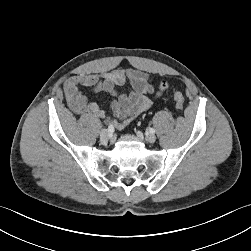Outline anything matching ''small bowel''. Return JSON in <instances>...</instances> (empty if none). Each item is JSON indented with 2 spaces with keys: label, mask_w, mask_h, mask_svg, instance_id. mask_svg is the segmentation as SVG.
Here are the masks:
<instances>
[{
  "label": "small bowel",
  "mask_w": 251,
  "mask_h": 251,
  "mask_svg": "<svg viewBox=\"0 0 251 251\" xmlns=\"http://www.w3.org/2000/svg\"><path fill=\"white\" fill-rule=\"evenodd\" d=\"M126 84L131 86V90L119 93L118 88ZM168 86V82L163 80L156 88L148 73L117 68L109 72L71 76L64 83V92L67 104L74 113L102 119H110V116L96 102L88 99L81 89L110 94L114 97L111 103L112 125L123 129L139 114L150 109L153 98L159 97Z\"/></svg>",
  "instance_id": "1"
}]
</instances>
